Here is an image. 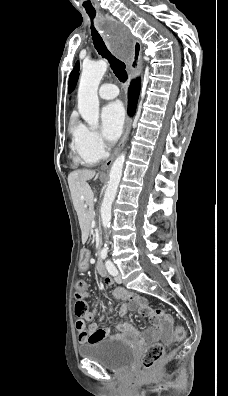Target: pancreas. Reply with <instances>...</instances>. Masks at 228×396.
Masks as SVG:
<instances>
[{
    "mask_svg": "<svg viewBox=\"0 0 228 396\" xmlns=\"http://www.w3.org/2000/svg\"><path fill=\"white\" fill-rule=\"evenodd\" d=\"M93 219H94V216H91V221H93ZM89 234H90L89 236L91 237V236H92V235H91L92 233L90 232ZM90 240H91V239L89 238L87 242L89 243Z\"/></svg>",
    "mask_w": 228,
    "mask_h": 396,
    "instance_id": "1",
    "label": "pancreas"
}]
</instances>
